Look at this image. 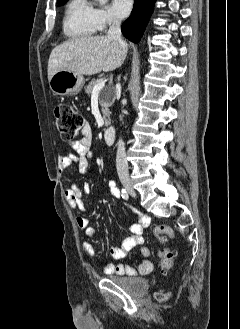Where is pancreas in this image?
<instances>
[{"label": "pancreas", "mask_w": 240, "mask_h": 329, "mask_svg": "<svg viewBox=\"0 0 240 329\" xmlns=\"http://www.w3.org/2000/svg\"><path fill=\"white\" fill-rule=\"evenodd\" d=\"M100 80H92L89 85L85 88V93L87 95H91L93 87L99 83ZM113 103V99H108L105 96V91H102L100 96H99V104L101 105V111L103 114V119L105 121V126L109 125L110 121V111H109V107L112 105Z\"/></svg>", "instance_id": "pancreas-1"}]
</instances>
